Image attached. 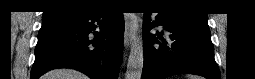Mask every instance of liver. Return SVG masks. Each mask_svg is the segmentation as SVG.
I'll list each match as a JSON object with an SVG mask.
<instances>
[{
  "label": "liver",
  "mask_w": 255,
  "mask_h": 79,
  "mask_svg": "<svg viewBox=\"0 0 255 79\" xmlns=\"http://www.w3.org/2000/svg\"><path fill=\"white\" fill-rule=\"evenodd\" d=\"M42 79H88V77L76 70L57 69L48 72Z\"/></svg>",
  "instance_id": "1"
}]
</instances>
